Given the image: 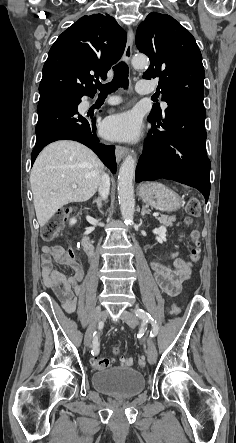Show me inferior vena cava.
<instances>
[{"mask_svg": "<svg viewBox=\"0 0 236 443\" xmlns=\"http://www.w3.org/2000/svg\"><path fill=\"white\" fill-rule=\"evenodd\" d=\"M110 190V178L107 174L103 173L99 182V194L101 199L106 200Z\"/></svg>", "mask_w": 236, "mask_h": 443, "instance_id": "inferior-vena-cava-1", "label": "inferior vena cava"}]
</instances>
